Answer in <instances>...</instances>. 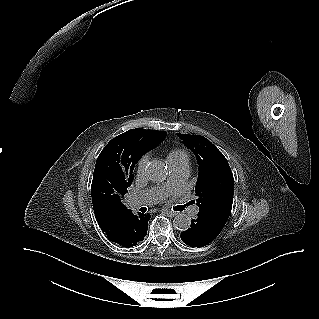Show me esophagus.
Segmentation results:
<instances>
[{
  "label": "esophagus",
  "mask_w": 319,
  "mask_h": 319,
  "mask_svg": "<svg viewBox=\"0 0 319 319\" xmlns=\"http://www.w3.org/2000/svg\"><path fill=\"white\" fill-rule=\"evenodd\" d=\"M169 217H174L176 215V212L171 211V210H163Z\"/></svg>",
  "instance_id": "34e87169"
}]
</instances>
